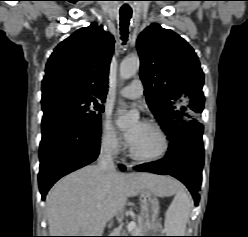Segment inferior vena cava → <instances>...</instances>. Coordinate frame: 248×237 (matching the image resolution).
<instances>
[{
  "instance_id": "inferior-vena-cava-1",
  "label": "inferior vena cava",
  "mask_w": 248,
  "mask_h": 237,
  "mask_svg": "<svg viewBox=\"0 0 248 237\" xmlns=\"http://www.w3.org/2000/svg\"><path fill=\"white\" fill-rule=\"evenodd\" d=\"M114 148L115 144L112 139H106L102 142L98 159V166L104 171H115V165L113 161ZM109 227H111V224H109Z\"/></svg>"
}]
</instances>
